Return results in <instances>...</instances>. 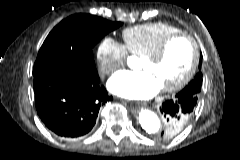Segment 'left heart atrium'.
Wrapping results in <instances>:
<instances>
[{"mask_svg": "<svg viewBox=\"0 0 240 160\" xmlns=\"http://www.w3.org/2000/svg\"><path fill=\"white\" fill-rule=\"evenodd\" d=\"M108 89L125 98L148 99L159 92L160 86L155 77L147 71L122 70L110 78Z\"/></svg>", "mask_w": 240, "mask_h": 160, "instance_id": "39dd6f15", "label": "left heart atrium"}]
</instances>
